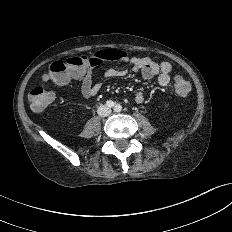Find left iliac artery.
Wrapping results in <instances>:
<instances>
[{
  "instance_id": "1",
  "label": "left iliac artery",
  "mask_w": 232,
  "mask_h": 232,
  "mask_svg": "<svg viewBox=\"0 0 232 232\" xmlns=\"http://www.w3.org/2000/svg\"><path fill=\"white\" fill-rule=\"evenodd\" d=\"M114 110H115L116 112L121 111V106H120V105H116L115 108H114Z\"/></svg>"
}]
</instances>
